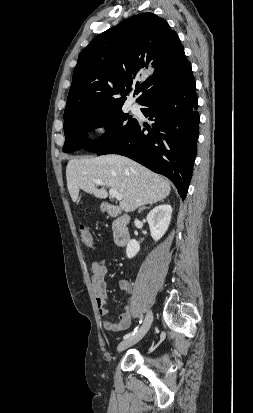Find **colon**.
Segmentation results:
<instances>
[{
  "mask_svg": "<svg viewBox=\"0 0 253 413\" xmlns=\"http://www.w3.org/2000/svg\"><path fill=\"white\" fill-rule=\"evenodd\" d=\"M79 237L82 244H84L88 248H94L95 242L94 239L89 231V229L84 225L81 224L79 227Z\"/></svg>",
  "mask_w": 253,
  "mask_h": 413,
  "instance_id": "colon-1",
  "label": "colon"
}]
</instances>
